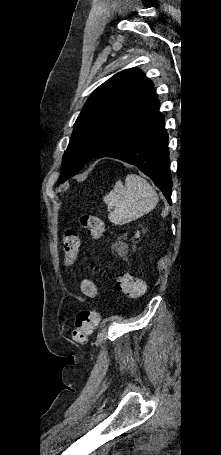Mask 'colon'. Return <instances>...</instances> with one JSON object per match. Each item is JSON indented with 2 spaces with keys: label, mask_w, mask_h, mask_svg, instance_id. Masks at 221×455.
<instances>
[{
  "label": "colon",
  "mask_w": 221,
  "mask_h": 455,
  "mask_svg": "<svg viewBox=\"0 0 221 455\" xmlns=\"http://www.w3.org/2000/svg\"><path fill=\"white\" fill-rule=\"evenodd\" d=\"M81 226L86 233L94 239L102 236L104 230L103 220L96 215H83L80 220ZM62 251L66 264H73L80 251V240L77 231L68 227L63 235ZM115 289L129 298H139L146 292V282L141 278L132 277L129 274L118 275L115 278ZM99 322V314L95 311L83 310L77 314L75 329L71 333V339L76 343H84L87 337L95 330Z\"/></svg>",
  "instance_id": "1"
}]
</instances>
